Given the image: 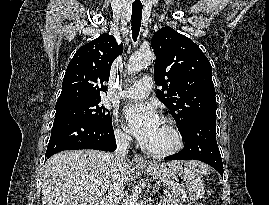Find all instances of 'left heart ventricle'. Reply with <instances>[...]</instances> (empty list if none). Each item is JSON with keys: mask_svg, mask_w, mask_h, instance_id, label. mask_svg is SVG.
<instances>
[{"mask_svg": "<svg viewBox=\"0 0 269 205\" xmlns=\"http://www.w3.org/2000/svg\"><path fill=\"white\" fill-rule=\"evenodd\" d=\"M173 143L174 139L167 124L161 121L158 131L146 146L156 150H163L171 147Z\"/></svg>", "mask_w": 269, "mask_h": 205, "instance_id": "1", "label": "left heart ventricle"}]
</instances>
